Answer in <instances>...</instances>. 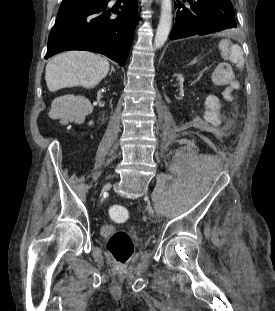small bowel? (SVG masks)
Instances as JSON below:
<instances>
[{
	"mask_svg": "<svg viewBox=\"0 0 275 311\" xmlns=\"http://www.w3.org/2000/svg\"><path fill=\"white\" fill-rule=\"evenodd\" d=\"M219 47V60L215 64L214 73H210L209 75L210 80L208 81V86L227 87L228 84L236 85L237 82L234 80L232 64L230 62L240 63L243 57L242 49L239 45H231L229 39L220 41ZM201 91L204 92L200 103L203 121L208 122L209 126H221L219 131L224 133V138H227L230 124H224L223 119H221V116H223V102L221 101V97L218 96L217 92H205V87H202Z\"/></svg>",
	"mask_w": 275,
	"mask_h": 311,
	"instance_id": "c3829d8e",
	"label": "small bowel"
}]
</instances>
